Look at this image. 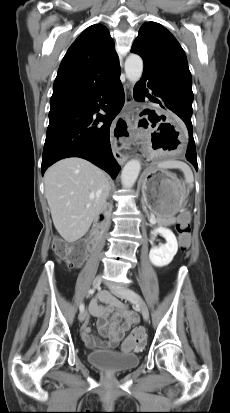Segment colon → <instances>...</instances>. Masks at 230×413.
<instances>
[{"mask_svg":"<svg viewBox=\"0 0 230 413\" xmlns=\"http://www.w3.org/2000/svg\"><path fill=\"white\" fill-rule=\"evenodd\" d=\"M176 230L179 234L177 242L181 244L183 250L191 246L189 240L190 227L186 216H182L176 224ZM55 255L60 258L68 268L77 265L86 254V245L83 242L68 244L63 240H56L52 244ZM128 341L137 348H140L144 342V331L136 327L130 334Z\"/></svg>","mask_w":230,"mask_h":413,"instance_id":"colon-1","label":"colon"}]
</instances>
